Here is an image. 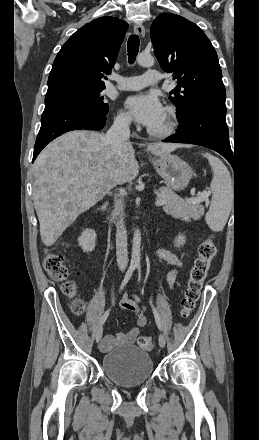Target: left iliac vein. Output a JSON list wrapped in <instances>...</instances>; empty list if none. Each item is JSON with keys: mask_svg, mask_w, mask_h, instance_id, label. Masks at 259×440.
<instances>
[{"mask_svg": "<svg viewBox=\"0 0 259 440\" xmlns=\"http://www.w3.org/2000/svg\"><path fill=\"white\" fill-rule=\"evenodd\" d=\"M158 341H159V346L161 347V348H164L165 347V344H166V339H165V336H164V334H160L159 335V339H158Z\"/></svg>", "mask_w": 259, "mask_h": 440, "instance_id": "4c4485c4", "label": "left iliac vein"}]
</instances>
